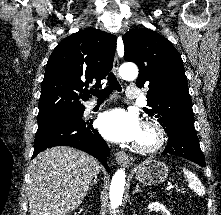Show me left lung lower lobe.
I'll return each mask as SVG.
<instances>
[{
	"label": "left lung lower lobe",
	"instance_id": "1",
	"mask_svg": "<svg viewBox=\"0 0 221 215\" xmlns=\"http://www.w3.org/2000/svg\"><path fill=\"white\" fill-rule=\"evenodd\" d=\"M168 145L161 153L172 154L191 160L205 167L204 155L201 151L194 125L167 126Z\"/></svg>",
	"mask_w": 221,
	"mask_h": 215
}]
</instances>
